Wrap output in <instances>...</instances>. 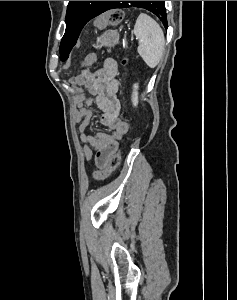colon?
Wrapping results in <instances>:
<instances>
[{
  "instance_id": "colon-1",
  "label": "colon",
  "mask_w": 237,
  "mask_h": 300,
  "mask_svg": "<svg viewBox=\"0 0 237 300\" xmlns=\"http://www.w3.org/2000/svg\"><path fill=\"white\" fill-rule=\"evenodd\" d=\"M124 13L120 9H112L102 13L95 20V26L97 28H104L107 26H116L120 24L123 20ZM97 60V56L95 54L88 55L82 62L83 67H88L93 65ZM123 63H126V60H123ZM74 84L77 83V76L72 79ZM121 153L120 151L113 153L107 164L102 167L100 170L94 172L92 174L93 179H102L107 177L118 165L120 162Z\"/></svg>"
}]
</instances>
